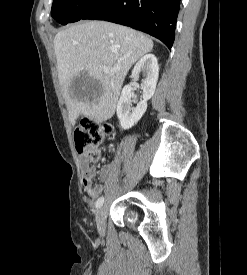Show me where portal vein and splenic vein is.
<instances>
[{"label": "portal vein and splenic vein", "mask_w": 247, "mask_h": 275, "mask_svg": "<svg viewBox=\"0 0 247 275\" xmlns=\"http://www.w3.org/2000/svg\"><path fill=\"white\" fill-rule=\"evenodd\" d=\"M102 69H103L104 72L114 71V69H113V70H110L109 68H107V67H105V66H104Z\"/></svg>", "instance_id": "portal-vein-and-splenic-vein-1"}]
</instances>
